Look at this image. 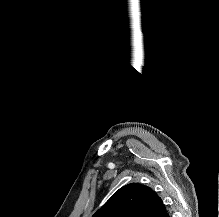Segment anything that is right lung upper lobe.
Wrapping results in <instances>:
<instances>
[{
  "instance_id": "cb5924a9",
  "label": "right lung upper lobe",
  "mask_w": 219,
  "mask_h": 217,
  "mask_svg": "<svg viewBox=\"0 0 219 217\" xmlns=\"http://www.w3.org/2000/svg\"><path fill=\"white\" fill-rule=\"evenodd\" d=\"M93 217H170L161 198L148 186L131 183L119 189Z\"/></svg>"
}]
</instances>
